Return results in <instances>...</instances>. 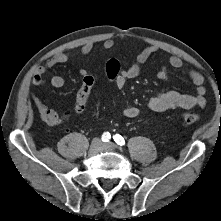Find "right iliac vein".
<instances>
[{
    "label": "right iliac vein",
    "instance_id": "right-iliac-vein-1",
    "mask_svg": "<svg viewBox=\"0 0 221 221\" xmlns=\"http://www.w3.org/2000/svg\"><path fill=\"white\" fill-rule=\"evenodd\" d=\"M101 148H102V142L99 139H95L92 141L90 145L89 153L96 154L101 150Z\"/></svg>",
    "mask_w": 221,
    "mask_h": 221
}]
</instances>
